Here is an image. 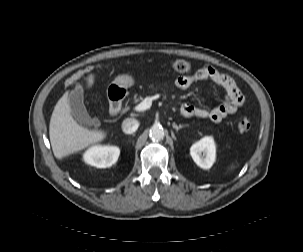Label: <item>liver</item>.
Segmentation results:
<instances>
[{
  "instance_id": "obj_1",
  "label": "liver",
  "mask_w": 303,
  "mask_h": 252,
  "mask_svg": "<svg viewBox=\"0 0 303 252\" xmlns=\"http://www.w3.org/2000/svg\"><path fill=\"white\" fill-rule=\"evenodd\" d=\"M87 84L89 87L94 84L93 74L87 77ZM69 98V93H66L57 102L49 125L51 147L57 159L81 151L106 137L102 130H89L77 123L71 114Z\"/></svg>"
}]
</instances>
